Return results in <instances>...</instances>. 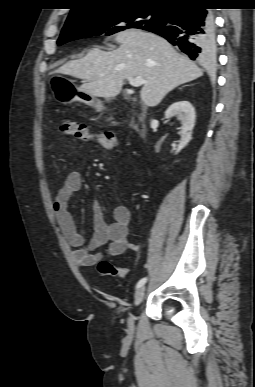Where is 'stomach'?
Segmentation results:
<instances>
[{"label": "stomach", "instance_id": "stomach-1", "mask_svg": "<svg viewBox=\"0 0 255 387\" xmlns=\"http://www.w3.org/2000/svg\"><path fill=\"white\" fill-rule=\"evenodd\" d=\"M52 81L54 82V96L61 103L67 104L77 100L94 107L97 111H102L104 109L102 102L96 97L79 89H75L71 85V80H59L58 75H53Z\"/></svg>", "mask_w": 255, "mask_h": 387}]
</instances>
